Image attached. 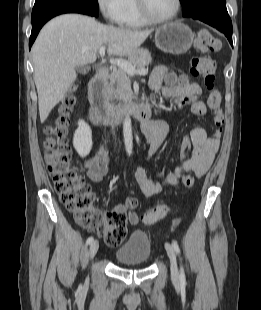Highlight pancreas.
Segmentation results:
<instances>
[{"instance_id":"pancreas-1","label":"pancreas","mask_w":261,"mask_h":310,"mask_svg":"<svg viewBox=\"0 0 261 310\" xmlns=\"http://www.w3.org/2000/svg\"><path fill=\"white\" fill-rule=\"evenodd\" d=\"M151 61V55L146 49H140L128 55V62L138 68L148 66ZM156 77V75H152L151 79H155ZM108 78L110 81L111 92L114 93L115 97L125 102H132L134 95L131 90V82L127 73L121 68L113 69Z\"/></svg>"}]
</instances>
